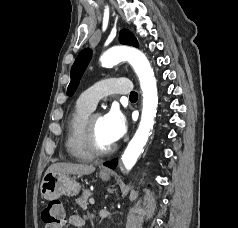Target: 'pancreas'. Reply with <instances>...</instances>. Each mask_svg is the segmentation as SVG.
<instances>
[{"instance_id": "obj_1", "label": "pancreas", "mask_w": 238, "mask_h": 228, "mask_svg": "<svg viewBox=\"0 0 238 228\" xmlns=\"http://www.w3.org/2000/svg\"><path fill=\"white\" fill-rule=\"evenodd\" d=\"M91 197V192L89 190H84L82 195L75 201L82 209H87L88 199Z\"/></svg>"}]
</instances>
